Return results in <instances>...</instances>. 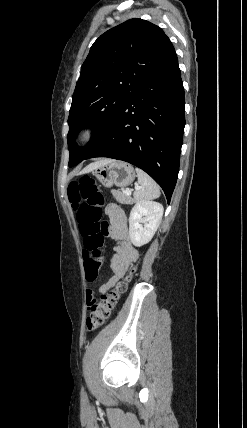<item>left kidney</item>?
<instances>
[{
	"label": "left kidney",
	"instance_id": "5707ae66",
	"mask_svg": "<svg viewBox=\"0 0 247 428\" xmlns=\"http://www.w3.org/2000/svg\"><path fill=\"white\" fill-rule=\"evenodd\" d=\"M163 206L155 201H137L130 212V240L136 247L149 243L157 231L163 216Z\"/></svg>",
	"mask_w": 247,
	"mask_h": 428
}]
</instances>
